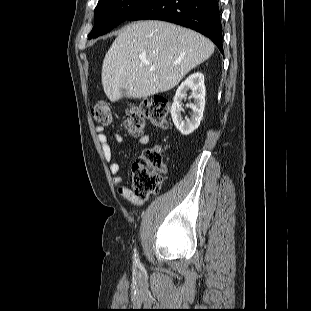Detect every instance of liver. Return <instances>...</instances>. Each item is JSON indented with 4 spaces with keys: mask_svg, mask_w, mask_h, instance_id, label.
I'll return each instance as SVG.
<instances>
[{
    "mask_svg": "<svg viewBox=\"0 0 311 311\" xmlns=\"http://www.w3.org/2000/svg\"><path fill=\"white\" fill-rule=\"evenodd\" d=\"M213 52L212 41L193 30L155 20L129 24L104 57V92L111 102L166 92Z\"/></svg>",
    "mask_w": 311,
    "mask_h": 311,
    "instance_id": "obj_1",
    "label": "liver"
}]
</instances>
